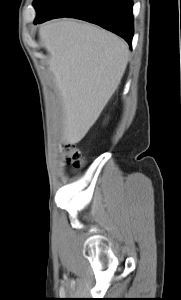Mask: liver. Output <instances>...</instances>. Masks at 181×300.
I'll return each instance as SVG.
<instances>
[{
    "instance_id": "6515ba94",
    "label": "liver",
    "mask_w": 181,
    "mask_h": 300,
    "mask_svg": "<svg viewBox=\"0 0 181 300\" xmlns=\"http://www.w3.org/2000/svg\"><path fill=\"white\" fill-rule=\"evenodd\" d=\"M49 70L62 97L67 144L81 141L117 89L129 58L117 35L88 23L60 19L39 28Z\"/></svg>"
}]
</instances>
